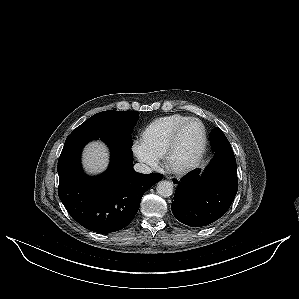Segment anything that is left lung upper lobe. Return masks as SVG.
Returning <instances> with one entry per match:
<instances>
[{"label": "left lung upper lobe", "instance_id": "1", "mask_svg": "<svg viewBox=\"0 0 299 299\" xmlns=\"http://www.w3.org/2000/svg\"><path fill=\"white\" fill-rule=\"evenodd\" d=\"M210 142L211 144L220 145L222 147H231L228 139L218 127L214 128L213 131L211 132Z\"/></svg>", "mask_w": 299, "mask_h": 299}]
</instances>
